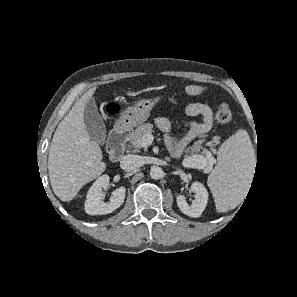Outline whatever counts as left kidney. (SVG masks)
Returning a JSON list of instances; mask_svg holds the SVG:
<instances>
[{
    "mask_svg": "<svg viewBox=\"0 0 297 297\" xmlns=\"http://www.w3.org/2000/svg\"><path fill=\"white\" fill-rule=\"evenodd\" d=\"M191 189L195 192V200L191 205H188L183 195H177L176 201L182 213L197 218L206 208L209 195L204 185L199 182H193Z\"/></svg>",
    "mask_w": 297,
    "mask_h": 297,
    "instance_id": "obj_1",
    "label": "left kidney"
}]
</instances>
